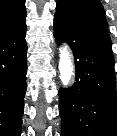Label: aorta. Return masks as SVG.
Wrapping results in <instances>:
<instances>
[{"label":"aorta","mask_w":117,"mask_h":136,"mask_svg":"<svg viewBox=\"0 0 117 136\" xmlns=\"http://www.w3.org/2000/svg\"><path fill=\"white\" fill-rule=\"evenodd\" d=\"M59 73L65 86L69 85L74 75V64L67 45H61L59 48Z\"/></svg>","instance_id":"obj_1"}]
</instances>
